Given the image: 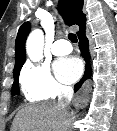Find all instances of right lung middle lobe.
Returning <instances> with one entry per match:
<instances>
[{
    "mask_svg": "<svg viewBox=\"0 0 117 131\" xmlns=\"http://www.w3.org/2000/svg\"><path fill=\"white\" fill-rule=\"evenodd\" d=\"M19 95V74L14 76V83L12 85V96Z\"/></svg>",
    "mask_w": 117,
    "mask_h": 131,
    "instance_id": "1",
    "label": "right lung middle lobe"
}]
</instances>
